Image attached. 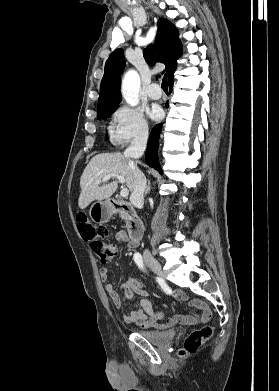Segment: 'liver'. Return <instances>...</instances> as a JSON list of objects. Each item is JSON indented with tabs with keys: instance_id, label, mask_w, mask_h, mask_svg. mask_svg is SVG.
I'll return each mask as SVG.
<instances>
[{
	"instance_id": "obj_1",
	"label": "liver",
	"mask_w": 279,
	"mask_h": 391,
	"mask_svg": "<svg viewBox=\"0 0 279 391\" xmlns=\"http://www.w3.org/2000/svg\"><path fill=\"white\" fill-rule=\"evenodd\" d=\"M119 174L124 177L125 183L130 191L134 188V176L130 168V159L120 153H103L94 156L80 179L81 193L78 200L80 209H85L91 202L108 199L116 190L117 182H104L103 185L96 183L109 174Z\"/></svg>"
}]
</instances>
